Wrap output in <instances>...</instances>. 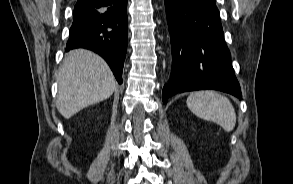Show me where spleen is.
Here are the masks:
<instances>
[{
	"instance_id": "spleen-1",
	"label": "spleen",
	"mask_w": 293,
	"mask_h": 184,
	"mask_svg": "<svg viewBox=\"0 0 293 184\" xmlns=\"http://www.w3.org/2000/svg\"><path fill=\"white\" fill-rule=\"evenodd\" d=\"M188 108L198 117L213 121L230 132L236 125V113L230 100L215 91H198L186 100Z\"/></svg>"
}]
</instances>
